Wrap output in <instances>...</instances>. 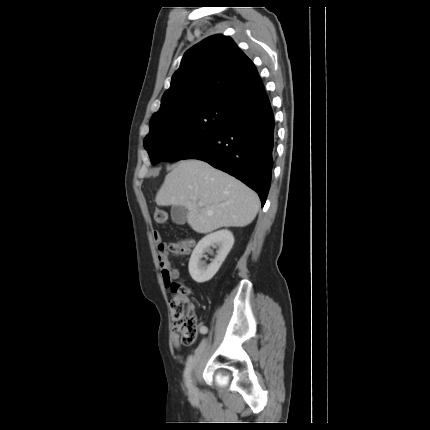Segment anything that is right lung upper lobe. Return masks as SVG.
Returning <instances> with one entry per match:
<instances>
[{
	"instance_id": "obj_1",
	"label": "right lung upper lobe",
	"mask_w": 430,
	"mask_h": 430,
	"mask_svg": "<svg viewBox=\"0 0 430 430\" xmlns=\"http://www.w3.org/2000/svg\"><path fill=\"white\" fill-rule=\"evenodd\" d=\"M260 85L255 65L229 36H210L185 53L150 125L208 102L235 107L251 101Z\"/></svg>"
}]
</instances>
